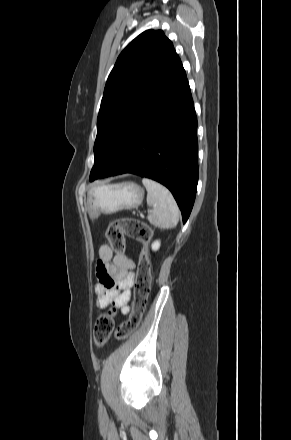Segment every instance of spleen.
I'll list each match as a JSON object with an SVG mask.
<instances>
[{
  "instance_id": "3e777b00",
  "label": "spleen",
  "mask_w": 291,
  "mask_h": 440,
  "mask_svg": "<svg viewBox=\"0 0 291 440\" xmlns=\"http://www.w3.org/2000/svg\"><path fill=\"white\" fill-rule=\"evenodd\" d=\"M142 183L147 190V205L153 207L149 222L163 229L174 228L179 221V208L173 195L154 180L143 178Z\"/></svg>"
}]
</instances>
